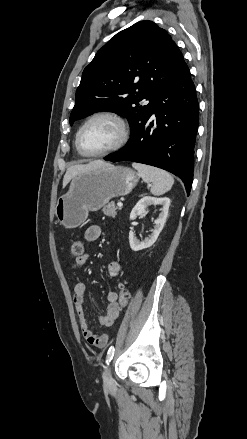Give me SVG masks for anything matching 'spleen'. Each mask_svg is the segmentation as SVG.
<instances>
[{
    "mask_svg": "<svg viewBox=\"0 0 247 439\" xmlns=\"http://www.w3.org/2000/svg\"><path fill=\"white\" fill-rule=\"evenodd\" d=\"M132 167L135 168L143 181L152 183L151 193L159 196L168 192L173 184V177L165 170L152 167L141 163H132Z\"/></svg>",
    "mask_w": 247,
    "mask_h": 439,
    "instance_id": "3e777b00",
    "label": "spleen"
}]
</instances>
